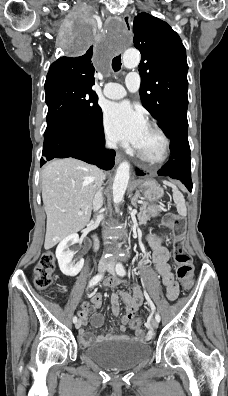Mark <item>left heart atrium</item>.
Instances as JSON below:
<instances>
[{"label": "left heart atrium", "instance_id": "obj_1", "mask_svg": "<svg viewBox=\"0 0 228 396\" xmlns=\"http://www.w3.org/2000/svg\"><path fill=\"white\" fill-rule=\"evenodd\" d=\"M104 124L113 140L136 148L147 128L143 113L128 102L108 105L104 112Z\"/></svg>", "mask_w": 228, "mask_h": 396}]
</instances>
